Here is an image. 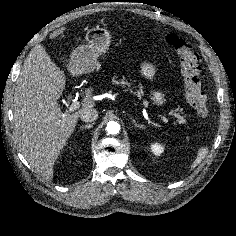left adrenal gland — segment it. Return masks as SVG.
Wrapping results in <instances>:
<instances>
[{"label":"left adrenal gland","mask_w":236,"mask_h":236,"mask_svg":"<svg viewBox=\"0 0 236 236\" xmlns=\"http://www.w3.org/2000/svg\"><path fill=\"white\" fill-rule=\"evenodd\" d=\"M130 119L132 120V123L134 124V126H135L136 128H140V129H144V128H145L144 125L138 124V123L136 122V120H135L133 117H130Z\"/></svg>","instance_id":"left-adrenal-gland-1"}]
</instances>
